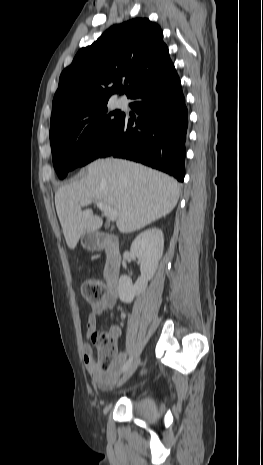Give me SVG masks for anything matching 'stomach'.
Instances as JSON below:
<instances>
[{
  "label": "stomach",
  "instance_id": "stomach-1",
  "mask_svg": "<svg viewBox=\"0 0 263 465\" xmlns=\"http://www.w3.org/2000/svg\"><path fill=\"white\" fill-rule=\"evenodd\" d=\"M97 236L92 232H85L81 238V245L86 249H94L97 246Z\"/></svg>",
  "mask_w": 263,
  "mask_h": 465
}]
</instances>
